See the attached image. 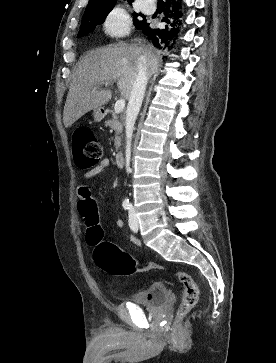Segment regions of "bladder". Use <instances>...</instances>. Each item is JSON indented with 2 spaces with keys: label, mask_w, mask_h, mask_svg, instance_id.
Returning a JSON list of instances; mask_svg holds the SVG:
<instances>
[{
  "label": "bladder",
  "mask_w": 276,
  "mask_h": 363,
  "mask_svg": "<svg viewBox=\"0 0 276 363\" xmlns=\"http://www.w3.org/2000/svg\"><path fill=\"white\" fill-rule=\"evenodd\" d=\"M168 299V288L160 284H152L148 288L135 293L129 301L148 308L164 305Z\"/></svg>",
  "instance_id": "obj_1"
}]
</instances>
